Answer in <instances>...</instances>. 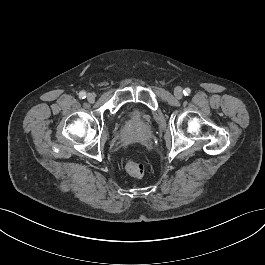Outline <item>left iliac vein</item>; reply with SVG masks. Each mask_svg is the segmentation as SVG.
<instances>
[{
	"instance_id": "1",
	"label": "left iliac vein",
	"mask_w": 265,
	"mask_h": 265,
	"mask_svg": "<svg viewBox=\"0 0 265 265\" xmlns=\"http://www.w3.org/2000/svg\"><path fill=\"white\" fill-rule=\"evenodd\" d=\"M174 95L176 98L180 99L183 95L182 93V88L181 87H176L174 90Z\"/></svg>"
}]
</instances>
